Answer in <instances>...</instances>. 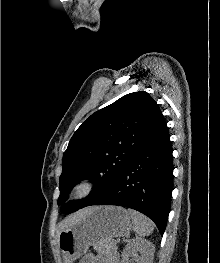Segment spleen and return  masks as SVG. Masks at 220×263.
I'll return each mask as SVG.
<instances>
[{
	"mask_svg": "<svg viewBox=\"0 0 220 263\" xmlns=\"http://www.w3.org/2000/svg\"><path fill=\"white\" fill-rule=\"evenodd\" d=\"M128 212L132 219L133 231L138 236H149L153 232L154 226L149 218L131 209H129Z\"/></svg>",
	"mask_w": 220,
	"mask_h": 263,
	"instance_id": "1",
	"label": "spleen"
}]
</instances>
